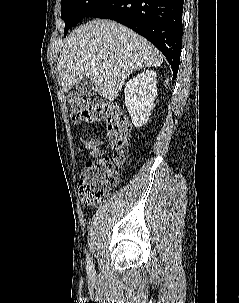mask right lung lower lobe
Returning <instances> with one entry per match:
<instances>
[{
  "label": "right lung lower lobe",
  "mask_w": 239,
  "mask_h": 303,
  "mask_svg": "<svg viewBox=\"0 0 239 303\" xmlns=\"http://www.w3.org/2000/svg\"><path fill=\"white\" fill-rule=\"evenodd\" d=\"M184 0H106L87 17L115 20L153 43L177 77L182 47Z\"/></svg>",
  "instance_id": "right-lung-lower-lobe-1"
}]
</instances>
